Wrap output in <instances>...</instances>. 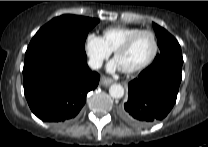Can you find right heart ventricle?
<instances>
[{
  "label": "right heart ventricle",
  "mask_w": 208,
  "mask_h": 147,
  "mask_svg": "<svg viewBox=\"0 0 208 147\" xmlns=\"http://www.w3.org/2000/svg\"><path fill=\"white\" fill-rule=\"evenodd\" d=\"M140 30L131 26L109 27L104 30L102 38L111 52H114L127 38Z\"/></svg>",
  "instance_id": "obj_1"
}]
</instances>
